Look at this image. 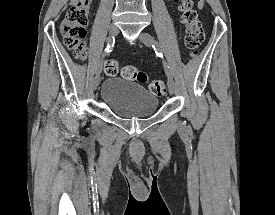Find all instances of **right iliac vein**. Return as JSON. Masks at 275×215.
<instances>
[{
  "mask_svg": "<svg viewBox=\"0 0 275 215\" xmlns=\"http://www.w3.org/2000/svg\"><path fill=\"white\" fill-rule=\"evenodd\" d=\"M109 33H110V35H112V36L117 35V33H118V28H117V26L114 25V24L110 25V27H109ZM100 73H101L100 71H97L96 74H95V77H94L93 80H92V88H93L94 90L97 89V87H98V85H99V83H100Z\"/></svg>",
  "mask_w": 275,
  "mask_h": 215,
  "instance_id": "1",
  "label": "right iliac vein"
}]
</instances>
